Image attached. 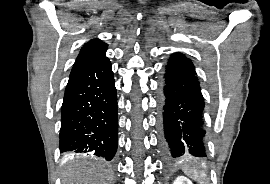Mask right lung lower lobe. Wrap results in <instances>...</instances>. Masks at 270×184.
<instances>
[{"instance_id":"98d812e1","label":"right lung lower lobe","mask_w":270,"mask_h":184,"mask_svg":"<svg viewBox=\"0 0 270 184\" xmlns=\"http://www.w3.org/2000/svg\"><path fill=\"white\" fill-rule=\"evenodd\" d=\"M60 152L113 159L117 150V95L109 59L73 69L65 89Z\"/></svg>"}]
</instances>
